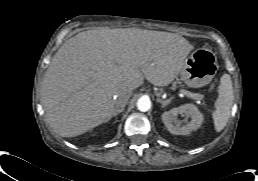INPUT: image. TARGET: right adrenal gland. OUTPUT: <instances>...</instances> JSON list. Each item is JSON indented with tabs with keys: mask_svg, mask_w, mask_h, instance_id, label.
I'll list each match as a JSON object with an SVG mask.
<instances>
[{
	"mask_svg": "<svg viewBox=\"0 0 258 181\" xmlns=\"http://www.w3.org/2000/svg\"><path fill=\"white\" fill-rule=\"evenodd\" d=\"M122 111H124V108H115L112 112V114L109 116L108 120L109 121L112 117H116L119 113H121Z\"/></svg>",
	"mask_w": 258,
	"mask_h": 181,
	"instance_id": "right-adrenal-gland-1",
	"label": "right adrenal gland"
}]
</instances>
